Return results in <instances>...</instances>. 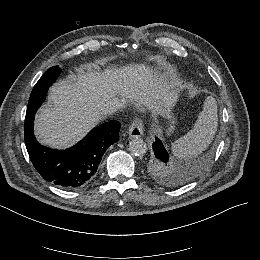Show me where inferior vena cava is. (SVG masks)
<instances>
[{
    "label": "inferior vena cava",
    "instance_id": "obj_1",
    "mask_svg": "<svg viewBox=\"0 0 260 260\" xmlns=\"http://www.w3.org/2000/svg\"><path fill=\"white\" fill-rule=\"evenodd\" d=\"M124 100H120L118 98H113L106 102L104 114L111 115L118 111V109L124 106Z\"/></svg>",
    "mask_w": 260,
    "mask_h": 260
}]
</instances>
